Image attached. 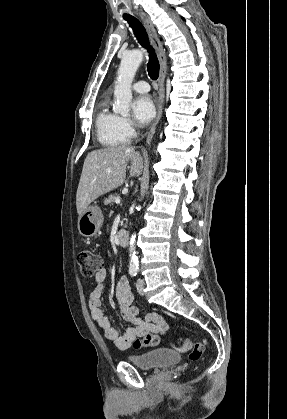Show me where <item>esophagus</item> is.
Wrapping results in <instances>:
<instances>
[{
	"label": "esophagus",
	"mask_w": 287,
	"mask_h": 419,
	"mask_svg": "<svg viewBox=\"0 0 287 419\" xmlns=\"http://www.w3.org/2000/svg\"><path fill=\"white\" fill-rule=\"evenodd\" d=\"M140 18L148 32L149 38L157 52V56L159 59V64H160V74H159V78H158V99H157V115L148 131L147 134V138H146V144H149L153 138V135L155 133L157 124L159 122V120L162 117V110H163V104H164V93H165V88H164V83H165V75H166V68H167V58H166V54L165 51L162 47V43L159 40L155 27L152 23V21L150 20V18L144 14V13H140Z\"/></svg>",
	"instance_id": "34e87169"
}]
</instances>
